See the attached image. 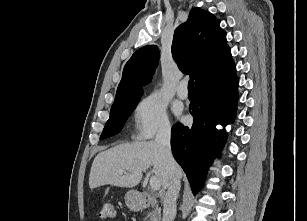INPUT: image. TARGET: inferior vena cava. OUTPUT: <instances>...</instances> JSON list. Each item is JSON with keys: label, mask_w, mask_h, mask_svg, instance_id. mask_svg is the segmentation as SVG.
Masks as SVG:
<instances>
[{"label": "inferior vena cava", "mask_w": 307, "mask_h": 221, "mask_svg": "<svg viewBox=\"0 0 307 221\" xmlns=\"http://www.w3.org/2000/svg\"><path fill=\"white\" fill-rule=\"evenodd\" d=\"M171 127L163 125L159 128L155 142L163 151L168 168L170 169V184L163 202L162 221H173L176 216V199L180 190V178L175 173L176 162L170 147Z\"/></svg>", "instance_id": "602c4592"}]
</instances>
